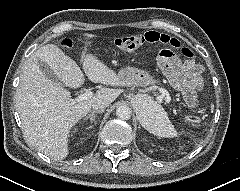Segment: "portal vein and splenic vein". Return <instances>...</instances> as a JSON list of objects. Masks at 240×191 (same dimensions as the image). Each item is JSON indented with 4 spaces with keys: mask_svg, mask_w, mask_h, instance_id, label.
Returning a JSON list of instances; mask_svg holds the SVG:
<instances>
[{
    "mask_svg": "<svg viewBox=\"0 0 240 191\" xmlns=\"http://www.w3.org/2000/svg\"><path fill=\"white\" fill-rule=\"evenodd\" d=\"M92 96H93V92L90 90H87L86 92H84L83 94H80L77 98H75L74 103L90 99Z\"/></svg>",
    "mask_w": 240,
    "mask_h": 191,
    "instance_id": "1",
    "label": "portal vein and splenic vein"
}]
</instances>
